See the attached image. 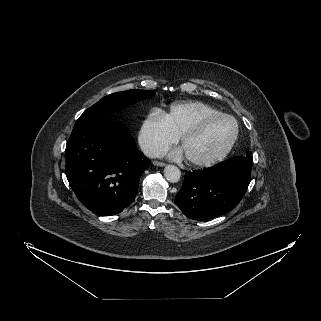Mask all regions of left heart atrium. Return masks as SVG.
Wrapping results in <instances>:
<instances>
[{"mask_svg": "<svg viewBox=\"0 0 321 321\" xmlns=\"http://www.w3.org/2000/svg\"><path fill=\"white\" fill-rule=\"evenodd\" d=\"M183 154H184V152H183L182 148H180V149L173 150L172 152H170L169 157L180 158L183 156Z\"/></svg>", "mask_w": 321, "mask_h": 321, "instance_id": "left-heart-atrium-1", "label": "left heart atrium"}]
</instances>
